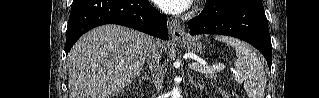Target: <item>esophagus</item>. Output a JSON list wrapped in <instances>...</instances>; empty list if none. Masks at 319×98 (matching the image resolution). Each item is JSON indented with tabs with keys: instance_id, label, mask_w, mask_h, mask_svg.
<instances>
[{
	"instance_id": "34e87169",
	"label": "esophagus",
	"mask_w": 319,
	"mask_h": 98,
	"mask_svg": "<svg viewBox=\"0 0 319 98\" xmlns=\"http://www.w3.org/2000/svg\"><path fill=\"white\" fill-rule=\"evenodd\" d=\"M168 30L171 36L172 42H181L185 37V32L180 22L176 19H172L168 23Z\"/></svg>"
}]
</instances>
